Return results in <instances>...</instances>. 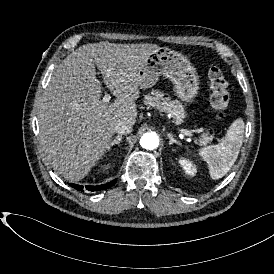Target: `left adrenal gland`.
<instances>
[{"label": "left adrenal gland", "mask_w": 274, "mask_h": 274, "mask_svg": "<svg viewBox=\"0 0 274 274\" xmlns=\"http://www.w3.org/2000/svg\"><path fill=\"white\" fill-rule=\"evenodd\" d=\"M168 138L170 139L168 145L176 144L178 146H181V143L177 142L171 134H168Z\"/></svg>", "instance_id": "1"}]
</instances>
